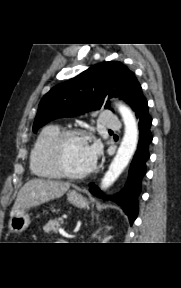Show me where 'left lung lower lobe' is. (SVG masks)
Segmentation results:
<instances>
[{
    "label": "left lung lower lobe",
    "instance_id": "0a47b994",
    "mask_svg": "<svg viewBox=\"0 0 181 288\" xmlns=\"http://www.w3.org/2000/svg\"><path fill=\"white\" fill-rule=\"evenodd\" d=\"M131 107L138 118L140 133L137 151L131 162L129 176L125 187L113 196H105L96 186H92L90 192L101 198L114 201L120 205L132 224L138 213L137 197L141 191V179L146 173V161L150 157L148 148L152 141V135L150 132L152 118L148 113V103L142 94V89L136 93Z\"/></svg>",
    "mask_w": 181,
    "mask_h": 288
}]
</instances>
